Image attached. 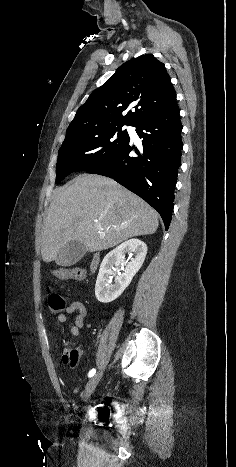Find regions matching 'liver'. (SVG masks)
<instances>
[{"mask_svg": "<svg viewBox=\"0 0 236 467\" xmlns=\"http://www.w3.org/2000/svg\"><path fill=\"white\" fill-rule=\"evenodd\" d=\"M158 225V214L140 197L110 178L84 173L54 192L45 220L42 259L55 260L70 241L81 242L90 252L101 251L153 234Z\"/></svg>", "mask_w": 236, "mask_h": 467, "instance_id": "liver-1", "label": "liver"}]
</instances>
